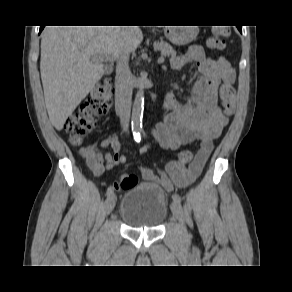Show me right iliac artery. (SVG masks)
<instances>
[{
  "mask_svg": "<svg viewBox=\"0 0 292 292\" xmlns=\"http://www.w3.org/2000/svg\"><path fill=\"white\" fill-rule=\"evenodd\" d=\"M113 193V187H109L108 189H107V192H106V194H107V196H109V195H111Z\"/></svg>",
  "mask_w": 292,
  "mask_h": 292,
  "instance_id": "1",
  "label": "right iliac artery"
}]
</instances>
